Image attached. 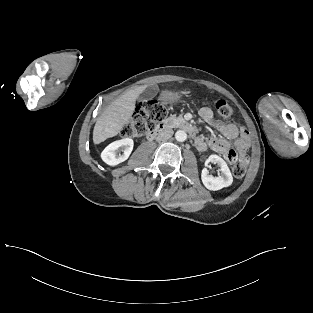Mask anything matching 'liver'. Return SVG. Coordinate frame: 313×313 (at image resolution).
Returning a JSON list of instances; mask_svg holds the SVG:
<instances>
[{"label": "liver", "mask_w": 313, "mask_h": 313, "mask_svg": "<svg viewBox=\"0 0 313 313\" xmlns=\"http://www.w3.org/2000/svg\"><path fill=\"white\" fill-rule=\"evenodd\" d=\"M147 85L136 87L113 101L98 118L93 130V142L99 144L116 136L128 123L139 95Z\"/></svg>", "instance_id": "obj_1"}]
</instances>
